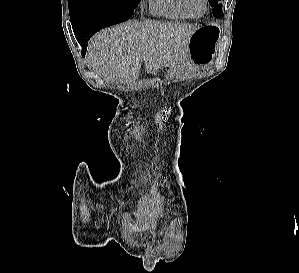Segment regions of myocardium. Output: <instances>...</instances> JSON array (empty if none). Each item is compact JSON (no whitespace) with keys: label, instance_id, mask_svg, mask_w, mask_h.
Listing matches in <instances>:
<instances>
[{"label":"myocardium","instance_id":"f54148a6","mask_svg":"<svg viewBox=\"0 0 299 273\" xmlns=\"http://www.w3.org/2000/svg\"><path fill=\"white\" fill-rule=\"evenodd\" d=\"M181 2V6L183 8V10L187 13V15L190 17V18H194V19H198V18H201L202 16L205 15V13L207 12L208 10V0H203L204 2V10L203 12L200 14V15H193L188 6H187V0H180Z\"/></svg>","mask_w":299,"mask_h":273}]
</instances>
